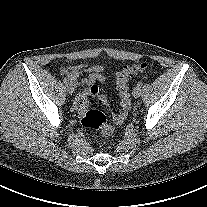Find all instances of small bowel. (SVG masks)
I'll return each instance as SVG.
<instances>
[{
	"mask_svg": "<svg viewBox=\"0 0 207 207\" xmlns=\"http://www.w3.org/2000/svg\"><path fill=\"white\" fill-rule=\"evenodd\" d=\"M104 71L105 69L101 65L88 64L68 66L62 69V73L67 76L74 86H90L97 82L104 83L106 81Z\"/></svg>",
	"mask_w": 207,
	"mask_h": 207,
	"instance_id": "small-bowel-1",
	"label": "small bowel"
}]
</instances>
